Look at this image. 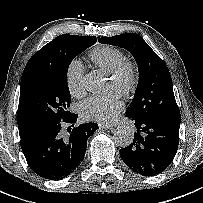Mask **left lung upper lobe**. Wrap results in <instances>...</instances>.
<instances>
[{
	"label": "left lung upper lobe",
	"mask_w": 203,
	"mask_h": 203,
	"mask_svg": "<svg viewBox=\"0 0 203 203\" xmlns=\"http://www.w3.org/2000/svg\"><path fill=\"white\" fill-rule=\"evenodd\" d=\"M98 41L128 50L138 64L139 83L126 116L149 119L181 117L169 70L140 35L125 33L113 37H98Z\"/></svg>",
	"instance_id": "5c2ea615"
}]
</instances>
